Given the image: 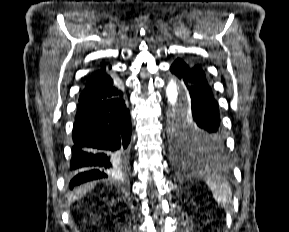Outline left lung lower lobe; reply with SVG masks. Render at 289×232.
Wrapping results in <instances>:
<instances>
[{
  "label": "left lung lower lobe",
  "mask_w": 289,
  "mask_h": 232,
  "mask_svg": "<svg viewBox=\"0 0 289 232\" xmlns=\"http://www.w3.org/2000/svg\"><path fill=\"white\" fill-rule=\"evenodd\" d=\"M187 89L190 107L187 117L216 151L225 147V135L214 99L202 67L194 62L177 59L170 67Z\"/></svg>",
  "instance_id": "1"
}]
</instances>
